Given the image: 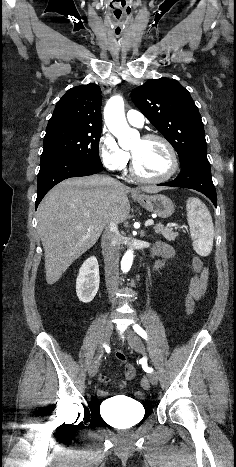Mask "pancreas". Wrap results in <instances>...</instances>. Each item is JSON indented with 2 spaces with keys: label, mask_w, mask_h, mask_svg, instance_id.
Listing matches in <instances>:
<instances>
[{
  "label": "pancreas",
  "mask_w": 236,
  "mask_h": 467,
  "mask_svg": "<svg viewBox=\"0 0 236 467\" xmlns=\"http://www.w3.org/2000/svg\"><path fill=\"white\" fill-rule=\"evenodd\" d=\"M154 230L168 241H174L178 236L177 232H173L171 228L164 227L161 223L156 224Z\"/></svg>",
  "instance_id": "cf45deb5"
}]
</instances>
